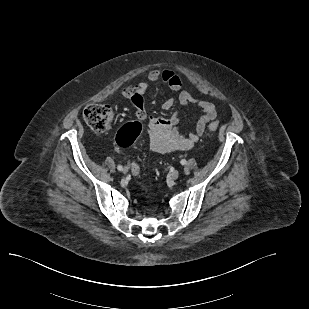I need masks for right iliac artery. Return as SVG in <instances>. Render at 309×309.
<instances>
[{
  "instance_id": "obj_1",
  "label": "right iliac artery",
  "mask_w": 309,
  "mask_h": 309,
  "mask_svg": "<svg viewBox=\"0 0 309 309\" xmlns=\"http://www.w3.org/2000/svg\"><path fill=\"white\" fill-rule=\"evenodd\" d=\"M117 169H118L119 171H122L123 167H122L121 165H118V166H117Z\"/></svg>"
}]
</instances>
